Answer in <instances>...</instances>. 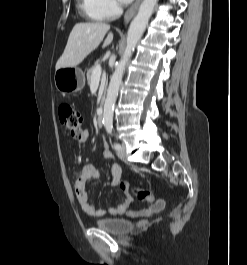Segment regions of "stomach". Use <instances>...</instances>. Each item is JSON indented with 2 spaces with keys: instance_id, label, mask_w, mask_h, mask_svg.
Returning <instances> with one entry per match:
<instances>
[{
  "instance_id": "obj_1",
  "label": "stomach",
  "mask_w": 247,
  "mask_h": 265,
  "mask_svg": "<svg viewBox=\"0 0 247 265\" xmlns=\"http://www.w3.org/2000/svg\"><path fill=\"white\" fill-rule=\"evenodd\" d=\"M54 82L61 93L77 92L85 86V74L78 67L60 68L55 71Z\"/></svg>"
}]
</instances>
